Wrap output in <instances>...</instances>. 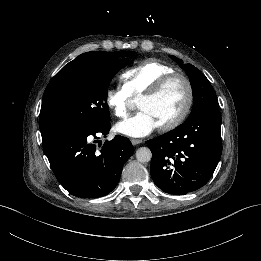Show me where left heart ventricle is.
Masks as SVG:
<instances>
[{"instance_id":"left-heart-ventricle-1","label":"left heart ventricle","mask_w":261,"mask_h":261,"mask_svg":"<svg viewBox=\"0 0 261 261\" xmlns=\"http://www.w3.org/2000/svg\"><path fill=\"white\" fill-rule=\"evenodd\" d=\"M186 98V85L181 79H177L169 84L158 97L140 101L139 108L149 112L160 126L180 113Z\"/></svg>"}]
</instances>
